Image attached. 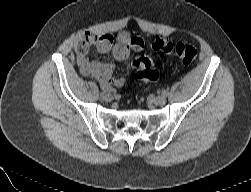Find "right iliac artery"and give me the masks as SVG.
Here are the masks:
<instances>
[{
  "label": "right iliac artery",
  "mask_w": 251,
  "mask_h": 192,
  "mask_svg": "<svg viewBox=\"0 0 251 192\" xmlns=\"http://www.w3.org/2000/svg\"><path fill=\"white\" fill-rule=\"evenodd\" d=\"M105 94H106V90H103V91L100 93V96H101L102 98H104Z\"/></svg>",
  "instance_id": "right-iliac-artery-1"
}]
</instances>
